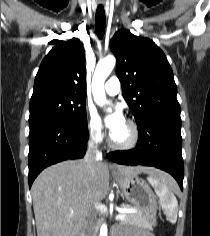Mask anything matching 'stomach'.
Masks as SVG:
<instances>
[{
  "label": "stomach",
  "instance_id": "obj_1",
  "mask_svg": "<svg viewBox=\"0 0 210 236\" xmlns=\"http://www.w3.org/2000/svg\"><path fill=\"white\" fill-rule=\"evenodd\" d=\"M124 196L146 218L150 225L156 224L158 203L148 183L137 176L115 175Z\"/></svg>",
  "mask_w": 210,
  "mask_h": 236
}]
</instances>
